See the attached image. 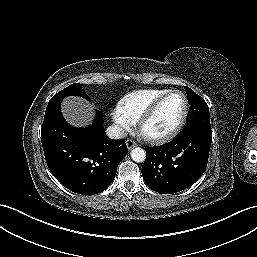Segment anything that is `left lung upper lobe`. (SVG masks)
Listing matches in <instances>:
<instances>
[{"label": "left lung upper lobe", "mask_w": 257, "mask_h": 257, "mask_svg": "<svg viewBox=\"0 0 257 257\" xmlns=\"http://www.w3.org/2000/svg\"><path fill=\"white\" fill-rule=\"evenodd\" d=\"M190 105L184 129L193 126H203L211 128L209 108L202 97L197 95L192 89L185 86Z\"/></svg>", "instance_id": "1"}]
</instances>
